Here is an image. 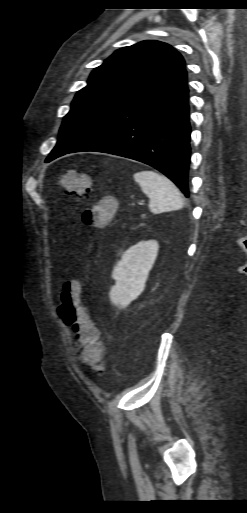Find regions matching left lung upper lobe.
<instances>
[{
	"instance_id": "obj_1",
	"label": "left lung upper lobe",
	"mask_w": 247,
	"mask_h": 513,
	"mask_svg": "<svg viewBox=\"0 0 247 513\" xmlns=\"http://www.w3.org/2000/svg\"><path fill=\"white\" fill-rule=\"evenodd\" d=\"M184 69L183 57L163 42L147 40L115 51L92 71L88 85L77 92L64 117L58 143Z\"/></svg>"
}]
</instances>
